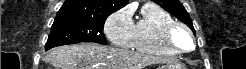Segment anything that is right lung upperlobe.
Wrapping results in <instances>:
<instances>
[{
  "instance_id": "right-lung-upper-lobe-1",
  "label": "right lung upper lobe",
  "mask_w": 246,
  "mask_h": 69,
  "mask_svg": "<svg viewBox=\"0 0 246 69\" xmlns=\"http://www.w3.org/2000/svg\"><path fill=\"white\" fill-rule=\"evenodd\" d=\"M127 3L128 0H66L55 19H105Z\"/></svg>"
}]
</instances>
